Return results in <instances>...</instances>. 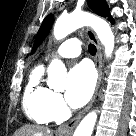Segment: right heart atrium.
Returning <instances> with one entry per match:
<instances>
[{
    "mask_svg": "<svg viewBox=\"0 0 136 136\" xmlns=\"http://www.w3.org/2000/svg\"><path fill=\"white\" fill-rule=\"evenodd\" d=\"M49 107L56 120L62 119L67 114V107L59 93L51 92Z\"/></svg>",
    "mask_w": 136,
    "mask_h": 136,
    "instance_id": "right-heart-atrium-1",
    "label": "right heart atrium"
}]
</instances>
